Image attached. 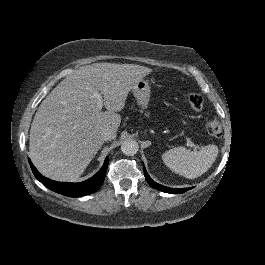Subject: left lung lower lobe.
Returning <instances> with one entry per match:
<instances>
[{"label": "left lung lower lobe", "mask_w": 265, "mask_h": 265, "mask_svg": "<svg viewBox=\"0 0 265 265\" xmlns=\"http://www.w3.org/2000/svg\"><path fill=\"white\" fill-rule=\"evenodd\" d=\"M143 169H144V174H145V178L146 180L149 182V184L155 188V189H158L160 191H163V192H166V193H173V194H181V193H184L186 192L187 190H190L191 188H182V189H178V188H169V187H166V186H163V185H160L156 182H154L150 176L148 175L147 171L145 170V167L143 166Z\"/></svg>", "instance_id": "1"}]
</instances>
